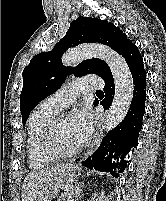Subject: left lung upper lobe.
<instances>
[{
    "label": "left lung upper lobe",
    "instance_id": "left-lung-upper-lobe-1",
    "mask_svg": "<svg viewBox=\"0 0 166 201\" xmlns=\"http://www.w3.org/2000/svg\"><path fill=\"white\" fill-rule=\"evenodd\" d=\"M85 42L106 44L122 56L132 44L120 28L107 21L91 17H79L72 21L65 37L51 51L35 55L23 70V88L20 94L23 124L40 101L59 89L67 75L73 73L76 77H81L93 73L104 79L111 74L108 65L100 59L85 60L76 68L62 65V54L68 48ZM96 103L97 101L94 105Z\"/></svg>",
    "mask_w": 166,
    "mask_h": 201
}]
</instances>
